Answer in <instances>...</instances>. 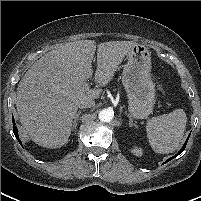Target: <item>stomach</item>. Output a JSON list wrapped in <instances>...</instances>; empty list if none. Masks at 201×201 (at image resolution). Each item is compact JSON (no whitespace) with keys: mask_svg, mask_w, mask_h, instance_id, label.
I'll return each instance as SVG.
<instances>
[{"mask_svg":"<svg viewBox=\"0 0 201 201\" xmlns=\"http://www.w3.org/2000/svg\"><path fill=\"white\" fill-rule=\"evenodd\" d=\"M122 83L129 101V112L136 119L148 117L155 102V84L151 79V54L144 45H135L127 53Z\"/></svg>","mask_w":201,"mask_h":201,"instance_id":"stomach-1","label":"stomach"}]
</instances>
